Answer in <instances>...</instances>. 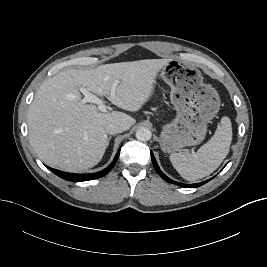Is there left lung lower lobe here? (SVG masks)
<instances>
[{
  "label": "left lung lower lobe",
  "mask_w": 267,
  "mask_h": 267,
  "mask_svg": "<svg viewBox=\"0 0 267 267\" xmlns=\"http://www.w3.org/2000/svg\"><path fill=\"white\" fill-rule=\"evenodd\" d=\"M151 159H152V163L154 165V168L156 169V171L159 173V175L166 181L172 183V184H176V185H179V186H182V187H186V188H196V187H199L201 185H203L204 183L208 182L209 180L205 181V182H200V183H196V184H182V183H178L170 178H168L159 168L157 162H156V159L154 157V154L153 152L151 151Z\"/></svg>",
  "instance_id": "obj_1"
}]
</instances>
